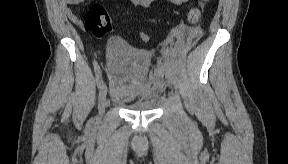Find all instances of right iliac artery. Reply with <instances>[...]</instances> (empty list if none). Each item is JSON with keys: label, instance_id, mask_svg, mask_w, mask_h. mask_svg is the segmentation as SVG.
Returning <instances> with one entry per match:
<instances>
[{"label": "right iliac artery", "instance_id": "82829eb1", "mask_svg": "<svg viewBox=\"0 0 288 164\" xmlns=\"http://www.w3.org/2000/svg\"><path fill=\"white\" fill-rule=\"evenodd\" d=\"M93 65H94V70H95V75H96L97 86L98 88H100L101 85L103 84L102 73H101L99 65L97 64L95 60L93 62Z\"/></svg>", "mask_w": 288, "mask_h": 164}]
</instances>
